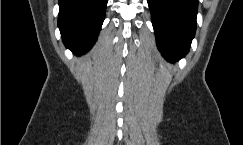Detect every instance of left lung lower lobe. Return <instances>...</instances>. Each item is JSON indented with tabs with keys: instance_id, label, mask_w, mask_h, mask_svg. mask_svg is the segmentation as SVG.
<instances>
[{
	"instance_id": "obj_1",
	"label": "left lung lower lobe",
	"mask_w": 243,
	"mask_h": 145,
	"mask_svg": "<svg viewBox=\"0 0 243 145\" xmlns=\"http://www.w3.org/2000/svg\"><path fill=\"white\" fill-rule=\"evenodd\" d=\"M158 49L169 62L184 57L196 30L198 0H148Z\"/></svg>"
}]
</instances>
